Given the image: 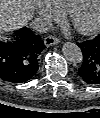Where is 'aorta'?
I'll list each match as a JSON object with an SVG mask.
<instances>
[{
	"label": "aorta",
	"mask_w": 100,
	"mask_h": 118,
	"mask_svg": "<svg viewBox=\"0 0 100 118\" xmlns=\"http://www.w3.org/2000/svg\"><path fill=\"white\" fill-rule=\"evenodd\" d=\"M62 51L66 59L72 63L79 64L83 60V54L78 45L72 42L64 43Z\"/></svg>",
	"instance_id": "1"
}]
</instances>
